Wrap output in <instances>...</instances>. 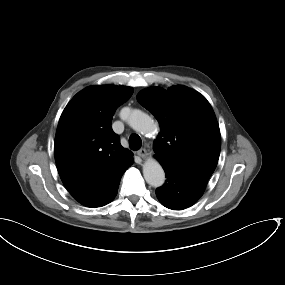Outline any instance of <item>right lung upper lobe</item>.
<instances>
[{
	"mask_svg": "<svg viewBox=\"0 0 285 285\" xmlns=\"http://www.w3.org/2000/svg\"><path fill=\"white\" fill-rule=\"evenodd\" d=\"M132 93L125 86L88 87L61 114L54 142L57 169L69 193L87 207L108 200L133 161L111 127L115 110Z\"/></svg>",
	"mask_w": 285,
	"mask_h": 285,
	"instance_id": "right-lung-upper-lobe-1",
	"label": "right lung upper lobe"
}]
</instances>
